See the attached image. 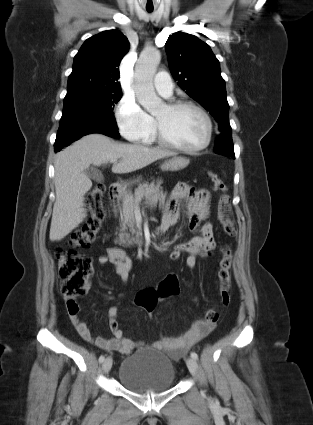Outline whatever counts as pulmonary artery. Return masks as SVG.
I'll use <instances>...</instances> for the list:
<instances>
[{
    "label": "pulmonary artery",
    "mask_w": 313,
    "mask_h": 425,
    "mask_svg": "<svg viewBox=\"0 0 313 425\" xmlns=\"http://www.w3.org/2000/svg\"><path fill=\"white\" fill-rule=\"evenodd\" d=\"M156 91L165 98H170L173 94V83L167 72L160 71L154 78Z\"/></svg>",
    "instance_id": "1"
}]
</instances>
